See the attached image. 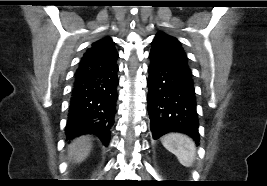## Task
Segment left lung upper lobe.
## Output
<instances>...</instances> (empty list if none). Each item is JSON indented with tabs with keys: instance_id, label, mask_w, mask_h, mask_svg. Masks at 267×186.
<instances>
[{
	"instance_id": "left-lung-upper-lobe-1",
	"label": "left lung upper lobe",
	"mask_w": 267,
	"mask_h": 186,
	"mask_svg": "<svg viewBox=\"0 0 267 186\" xmlns=\"http://www.w3.org/2000/svg\"><path fill=\"white\" fill-rule=\"evenodd\" d=\"M150 55H153L161 61L191 74L186 53L181 47L180 42L175 37L163 32H158L152 42Z\"/></svg>"
}]
</instances>
